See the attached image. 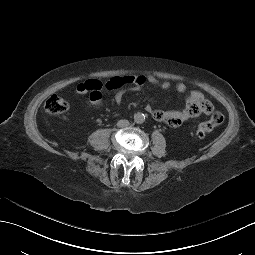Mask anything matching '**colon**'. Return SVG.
<instances>
[{
	"instance_id": "1",
	"label": "colon",
	"mask_w": 255,
	"mask_h": 255,
	"mask_svg": "<svg viewBox=\"0 0 255 255\" xmlns=\"http://www.w3.org/2000/svg\"><path fill=\"white\" fill-rule=\"evenodd\" d=\"M70 108V103L64 98L52 95L45 102V110L52 115H59L67 112ZM224 121V115L220 112H215L208 120L199 122L195 127V134L198 137H204L212 132L217 126Z\"/></svg>"
}]
</instances>
